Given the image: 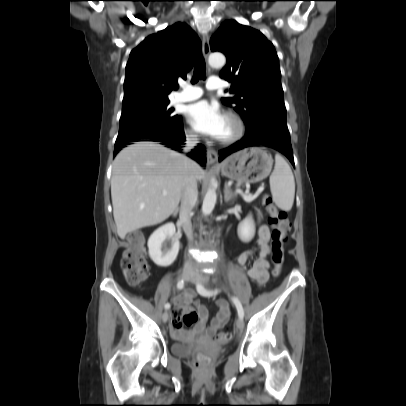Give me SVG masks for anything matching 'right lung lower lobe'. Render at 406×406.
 <instances>
[{
    "label": "right lung lower lobe",
    "mask_w": 406,
    "mask_h": 406,
    "mask_svg": "<svg viewBox=\"0 0 406 406\" xmlns=\"http://www.w3.org/2000/svg\"><path fill=\"white\" fill-rule=\"evenodd\" d=\"M137 141H154L160 142L161 144L165 145L166 147L172 148L176 151H181V145L184 144L185 141V134L183 131L182 126V119L180 118L179 121L170 129L147 134V135H138V136H131L126 137L123 139H117L115 142L114 147V154L116 155L122 148L126 147V145L131 144V142ZM188 156L197 162L201 163L202 165L206 164V150L205 147L202 145L196 146L192 152L188 154Z\"/></svg>",
    "instance_id": "98d812e1"
}]
</instances>
